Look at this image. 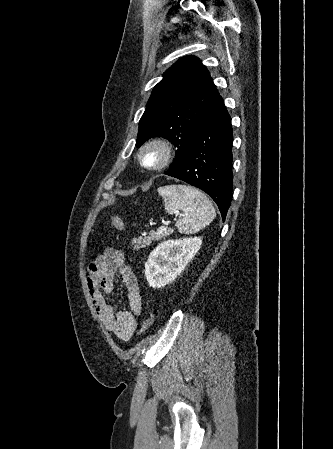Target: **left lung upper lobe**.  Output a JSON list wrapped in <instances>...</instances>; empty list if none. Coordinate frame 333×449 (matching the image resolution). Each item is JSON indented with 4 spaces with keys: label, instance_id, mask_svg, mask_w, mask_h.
Masks as SVG:
<instances>
[{
    "label": "left lung upper lobe",
    "instance_id": "left-lung-upper-lobe-1",
    "mask_svg": "<svg viewBox=\"0 0 333 449\" xmlns=\"http://www.w3.org/2000/svg\"><path fill=\"white\" fill-rule=\"evenodd\" d=\"M219 96L208 70L197 57L180 58L154 87L139 122L136 145L155 136L167 138L177 148L170 168L179 167Z\"/></svg>",
    "mask_w": 333,
    "mask_h": 449
}]
</instances>
